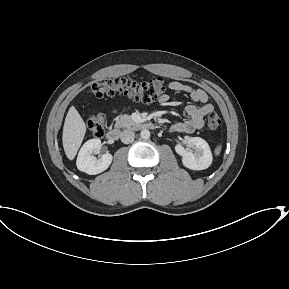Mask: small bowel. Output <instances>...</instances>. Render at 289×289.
I'll return each instance as SVG.
<instances>
[{"label": "small bowel", "instance_id": "1", "mask_svg": "<svg viewBox=\"0 0 289 289\" xmlns=\"http://www.w3.org/2000/svg\"><path fill=\"white\" fill-rule=\"evenodd\" d=\"M168 88L175 92H183L189 94L190 98L200 105H188L186 113L188 119L176 122L171 126V130L180 133H193L194 131L202 128L204 124V117L213 111V105L208 102L207 93L198 88H193L190 85L184 84L179 81H171ZM169 96L164 94L159 98L161 104L167 103Z\"/></svg>", "mask_w": 289, "mask_h": 289}]
</instances>
